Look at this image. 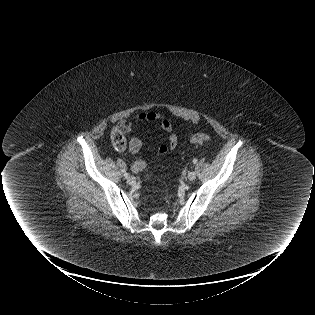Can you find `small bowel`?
Here are the masks:
<instances>
[{"mask_svg": "<svg viewBox=\"0 0 315 315\" xmlns=\"http://www.w3.org/2000/svg\"><path fill=\"white\" fill-rule=\"evenodd\" d=\"M144 122H156L163 129L164 133L168 137V143L162 144L158 147L157 153L159 155L166 154L168 151L176 148L178 144V137L172 128L170 120L163 114L156 112H140L131 117L129 120H123L119 123L122 131L128 133L136 129L140 124ZM142 147V141L138 137L131 138L129 142V151L134 156L131 168L135 173H140L146 167V162L137 157L140 149Z\"/></svg>", "mask_w": 315, "mask_h": 315, "instance_id": "1", "label": "small bowel"}]
</instances>
